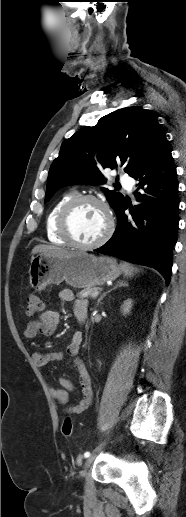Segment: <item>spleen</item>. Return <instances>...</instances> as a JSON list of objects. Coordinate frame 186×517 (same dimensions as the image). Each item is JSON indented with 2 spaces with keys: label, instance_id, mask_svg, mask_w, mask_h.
Listing matches in <instances>:
<instances>
[{
  "label": "spleen",
  "instance_id": "spleen-1",
  "mask_svg": "<svg viewBox=\"0 0 186 517\" xmlns=\"http://www.w3.org/2000/svg\"><path fill=\"white\" fill-rule=\"evenodd\" d=\"M120 268L123 271L124 275L127 277H131L134 273H137L139 271L137 268H134L128 263H121Z\"/></svg>",
  "mask_w": 186,
  "mask_h": 517
}]
</instances>
